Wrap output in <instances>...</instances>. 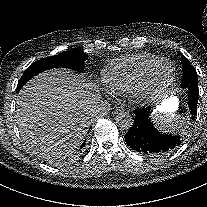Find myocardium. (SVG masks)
Segmentation results:
<instances>
[{
  "label": "myocardium",
  "instance_id": "obj_1",
  "mask_svg": "<svg viewBox=\"0 0 207 207\" xmlns=\"http://www.w3.org/2000/svg\"><path fill=\"white\" fill-rule=\"evenodd\" d=\"M163 63H170L172 65V74L163 88L154 89L151 86L150 76ZM176 74L175 63L169 58H160L144 72L140 85L129 94L130 100L134 105L142 107L165 98L174 85Z\"/></svg>",
  "mask_w": 207,
  "mask_h": 207
}]
</instances>
